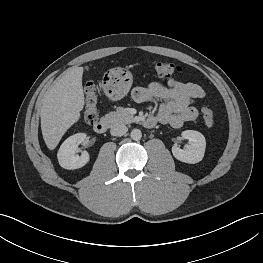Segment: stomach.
I'll use <instances>...</instances> for the list:
<instances>
[{
  "label": "stomach",
  "mask_w": 263,
  "mask_h": 263,
  "mask_svg": "<svg viewBox=\"0 0 263 263\" xmlns=\"http://www.w3.org/2000/svg\"><path fill=\"white\" fill-rule=\"evenodd\" d=\"M133 83L131 72L123 68H113L106 75L104 90L111 100H120L127 95Z\"/></svg>",
  "instance_id": "1"
}]
</instances>
